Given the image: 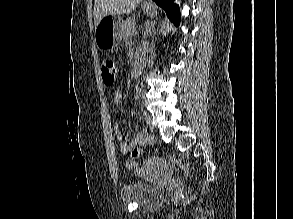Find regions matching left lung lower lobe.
Segmentation results:
<instances>
[{
	"instance_id": "0a47b994",
	"label": "left lung lower lobe",
	"mask_w": 293,
	"mask_h": 219,
	"mask_svg": "<svg viewBox=\"0 0 293 219\" xmlns=\"http://www.w3.org/2000/svg\"><path fill=\"white\" fill-rule=\"evenodd\" d=\"M157 5L162 7L168 18L173 22L175 25L180 24L181 14L179 6L174 4V0H153Z\"/></svg>"
}]
</instances>
